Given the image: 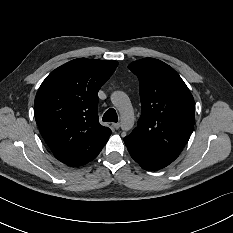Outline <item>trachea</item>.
Masks as SVG:
<instances>
[{
    "label": "trachea",
    "instance_id": "trachea-1",
    "mask_svg": "<svg viewBox=\"0 0 233 233\" xmlns=\"http://www.w3.org/2000/svg\"><path fill=\"white\" fill-rule=\"evenodd\" d=\"M104 122H117L118 116L115 109H108L103 115Z\"/></svg>",
    "mask_w": 233,
    "mask_h": 233
}]
</instances>
